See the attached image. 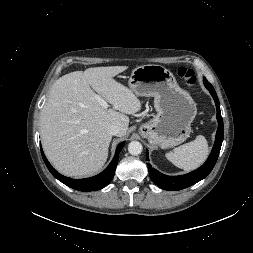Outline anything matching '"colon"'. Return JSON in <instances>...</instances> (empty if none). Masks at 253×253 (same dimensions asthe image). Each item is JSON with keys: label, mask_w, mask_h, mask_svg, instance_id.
<instances>
[{"label": "colon", "mask_w": 253, "mask_h": 253, "mask_svg": "<svg viewBox=\"0 0 253 253\" xmlns=\"http://www.w3.org/2000/svg\"><path fill=\"white\" fill-rule=\"evenodd\" d=\"M175 73L182 78L189 87H194L196 85L197 78L193 70L182 67L176 69Z\"/></svg>", "instance_id": "colon-1"}]
</instances>
